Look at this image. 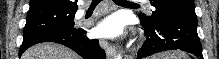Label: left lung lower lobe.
<instances>
[{
    "mask_svg": "<svg viewBox=\"0 0 219 59\" xmlns=\"http://www.w3.org/2000/svg\"><path fill=\"white\" fill-rule=\"evenodd\" d=\"M140 24L146 40L138 51L137 59L166 50H182L203 59L194 7H188L172 18L157 23L141 21Z\"/></svg>",
    "mask_w": 219,
    "mask_h": 59,
    "instance_id": "left-lung-lower-lobe-1",
    "label": "left lung lower lobe"
}]
</instances>
